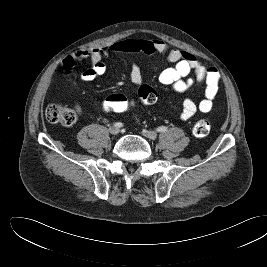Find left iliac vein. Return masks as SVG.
<instances>
[{
    "label": "left iliac vein",
    "instance_id": "left-iliac-vein-1",
    "mask_svg": "<svg viewBox=\"0 0 267 267\" xmlns=\"http://www.w3.org/2000/svg\"><path fill=\"white\" fill-rule=\"evenodd\" d=\"M142 135L151 139V140H154L157 138V133L155 131H147V130H143L142 131Z\"/></svg>",
    "mask_w": 267,
    "mask_h": 267
}]
</instances>
